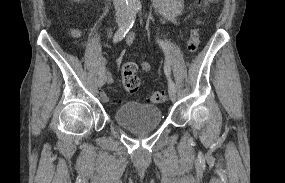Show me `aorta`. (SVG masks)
<instances>
[{
  "label": "aorta",
  "instance_id": "762f6f07",
  "mask_svg": "<svg viewBox=\"0 0 285 183\" xmlns=\"http://www.w3.org/2000/svg\"><path fill=\"white\" fill-rule=\"evenodd\" d=\"M129 9L138 10L141 8L140 0H126Z\"/></svg>",
  "mask_w": 285,
  "mask_h": 183
}]
</instances>
